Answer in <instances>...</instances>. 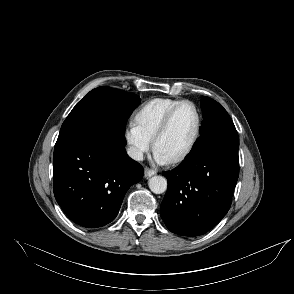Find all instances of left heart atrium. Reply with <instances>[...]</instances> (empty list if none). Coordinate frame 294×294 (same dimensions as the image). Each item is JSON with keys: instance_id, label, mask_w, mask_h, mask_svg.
Wrapping results in <instances>:
<instances>
[{"instance_id": "obj_1", "label": "left heart atrium", "mask_w": 294, "mask_h": 294, "mask_svg": "<svg viewBox=\"0 0 294 294\" xmlns=\"http://www.w3.org/2000/svg\"><path fill=\"white\" fill-rule=\"evenodd\" d=\"M154 159L159 164H165L169 161L167 157H165L162 153H160L158 150L155 149L154 151Z\"/></svg>"}]
</instances>
